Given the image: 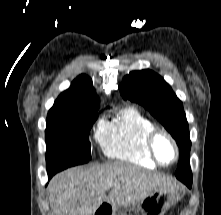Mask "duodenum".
<instances>
[{
    "mask_svg": "<svg viewBox=\"0 0 221 215\" xmlns=\"http://www.w3.org/2000/svg\"><path fill=\"white\" fill-rule=\"evenodd\" d=\"M111 213H112L111 206L108 204H103L96 210L94 215H111Z\"/></svg>",
    "mask_w": 221,
    "mask_h": 215,
    "instance_id": "duodenum-1",
    "label": "duodenum"
}]
</instances>
